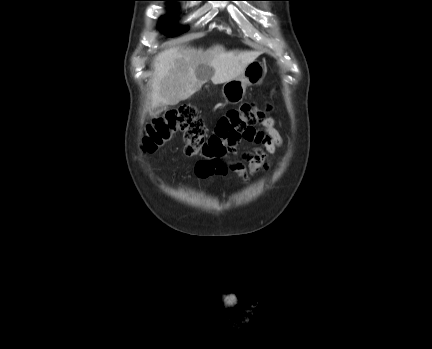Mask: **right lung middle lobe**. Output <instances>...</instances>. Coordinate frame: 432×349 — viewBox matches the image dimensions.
Wrapping results in <instances>:
<instances>
[{
    "label": "right lung middle lobe",
    "instance_id": "1",
    "mask_svg": "<svg viewBox=\"0 0 432 349\" xmlns=\"http://www.w3.org/2000/svg\"><path fill=\"white\" fill-rule=\"evenodd\" d=\"M166 1H178V0H166ZM174 23H175V21L172 17L163 16V17H161L159 28L161 30H167L168 28L173 26ZM187 30H188L187 27H178V28H175V29L168 31L167 34L169 36H176V35H179L183 32H186Z\"/></svg>",
    "mask_w": 432,
    "mask_h": 349
}]
</instances>
